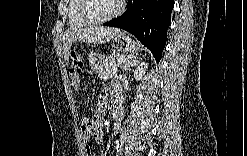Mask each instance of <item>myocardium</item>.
Masks as SVG:
<instances>
[{"mask_svg":"<svg viewBox=\"0 0 247 156\" xmlns=\"http://www.w3.org/2000/svg\"><path fill=\"white\" fill-rule=\"evenodd\" d=\"M90 2L91 1L89 0H83L80 5V16L87 24L90 25H100L109 22L118 17L123 12V3L118 1L115 10L111 14L104 17H93L88 13Z\"/></svg>","mask_w":247,"mask_h":156,"instance_id":"myocardium-1","label":"myocardium"}]
</instances>
